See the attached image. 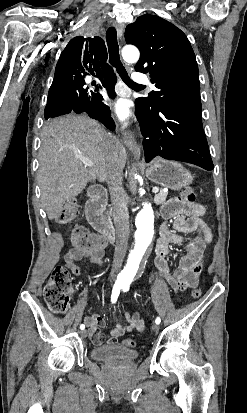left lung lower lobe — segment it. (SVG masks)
<instances>
[{"mask_svg": "<svg viewBox=\"0 0 247 413\" xmlns=\"http://www.w3.org/2000/svg\"><path fill=\"white\" fill-rule=\"evenodd\" d=\"M146 162L156 156L213 169L201 114L178 107L145 113L136 109Z\"/></svg>", "mask_w": 247, "mask_h": 413, "instance_id": "obj_1", "label": "left lung lower lobe"}]
</instances>
